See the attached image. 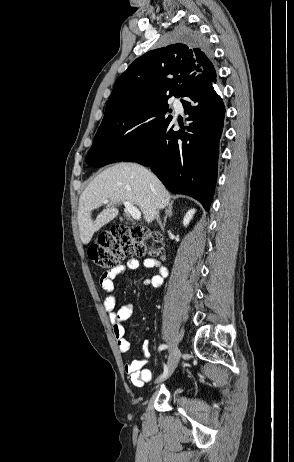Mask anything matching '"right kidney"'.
<instances>
[{
	"instance_id": "ca27d5eb",
	"label": "right kidney",
	"mask_w": 294,
	"mask_h": 462,
	"mask_svg": "<svg viewBox=\"0 0 294 462\" xmlns=\"http://www.w3.org/2000/svg\"><path fill=\"white\" fill-rule=\"evenodd\" d=\"M195 209H190L188 212L185 214L184 219H183V225L186 227L190 220L193 218V215L195 214Z\"/></svg>"
}]
</instances>
